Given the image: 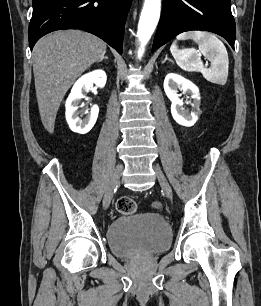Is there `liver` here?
I'll use <instances>...</instances> for the list:
<instances>
[{
    "label": "liver",
    "mask_w": 261,
    "mask_h": 306,
    "mask_svg": "<svg viewBox=\"0 0 261 306\" xmlns=\"http://www.w3.org/2000/svg\"><path fill=\"white\" fill-rule=\"evenodd\" d=\"M106 43L80 30L42 37L33 49V72L41 121L53 133L57 111L73 82L104 57Z\"/></svg>",
    "instance_id": "liver-1"
}]
</instances>
